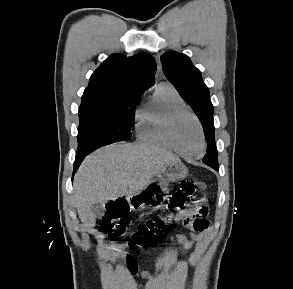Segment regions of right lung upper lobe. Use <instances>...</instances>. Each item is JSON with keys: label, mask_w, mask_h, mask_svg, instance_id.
<instances>
[{"label": "right lung upper lobe", "mask_w": 293, "mask_h": 289, "mask_svg": "<svg viewBox=\"0 0 293 289\" xmlns=\"http://www.w3.org/2000/svg\"><path fill=\"white\" fill-rule=\"evenodd\" d=\"M154 58L147 53L132 57L114 54L92 74L82 103L140 97L155 82Z\"/></svg>", "instance_id": "cb5924a9"}]
</instances>
